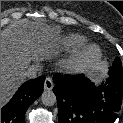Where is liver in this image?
<instances>
[{
    "instance_id": "6515ba94",
    "label": "liver",
    "mask_w": 123,
    "mask_h": 123,
    "mask_svg": "<svg viewBox=\"0 0 123 123\" xmlns=\"http://www.w3.org/2000/svg\"><path fill=\"white\" fill-rule=\"evenodd\" d=\"M60 29L42 21L22 19L1 31V107L25 81L30 63L57 53Z\"/></svg>"
}]
</instances>
